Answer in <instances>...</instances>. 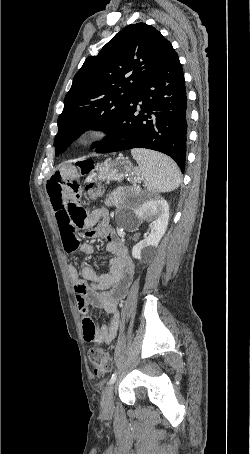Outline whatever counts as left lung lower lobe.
<instances>
[{
	"instance_id": "obj_1",
	"label": "left lung lower lobe",
	"mask_w": 250,
	"mask_h": 454,
	"mask_svg": "<svg viewBox=\"0 0 250 454\" xmlns=\"http://www.w3.org/2000/svg\"><path fill=\"white\" fill-rule=\"evenodd\" d=\"M187 121L184 75L174 50L138 88L111 137L101 142L95 152L152 149L170 156L184 172Z\"/></svg>"
}]
</instances>
